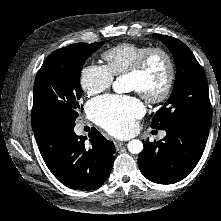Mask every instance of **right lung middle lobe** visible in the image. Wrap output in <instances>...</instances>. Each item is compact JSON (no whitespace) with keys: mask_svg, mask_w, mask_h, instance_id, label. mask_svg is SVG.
<instances>
[{"mask_svg":"<svg viewBox=\"0 0 221 221\" xmlns=\"http://www.w3.org/2000/svg\"><path fill=\"white\" fill-rule=\"evenodd\" d=\"M103 44H71L47 57L35 79L32 127L49 122L75 123L83 109L79 104L83 64Z\"/></svg>","mask_w":221,"mask_h":221,"instance_id":"1","label":"right lung middle lobe"}]
</instances>
